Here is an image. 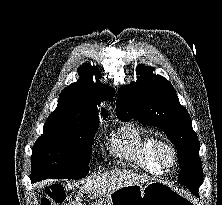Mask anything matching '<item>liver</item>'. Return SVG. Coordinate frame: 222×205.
Returning a JSON list of instances; mask_svg holds the SVG:
<instances>
[{"label":"liver","instance_id":"liver-1","mask_svg":"<svg viewBox=\"0 0 222 205\" xmlns=\"http://www.w3.org/2000/svg\"><path fill=\"white\" fill-rule=\"evenodd\" d=\"M149 180L148 177L135 174L131 171L113 170L93 179H88L80 188L76 202L73 205H82L81 198L84 193L92 194L91 198L94 199L119 188L141 184Z\"/></svg>","mask_w":222,"mask_h":205}]
</instances>
